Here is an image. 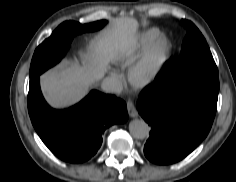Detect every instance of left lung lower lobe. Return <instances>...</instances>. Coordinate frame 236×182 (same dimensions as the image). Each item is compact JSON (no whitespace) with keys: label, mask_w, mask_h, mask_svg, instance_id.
I'll use <instances>...</instances> for the list:
<instances>
[{"label":"left lung lower lobe","mask_w":236,"mask_h":182,"mask_svg":"<svg viewBox=\"0 0 236 182\" xmlns=\"http://www.w3.org/2000/svg\"><path fill=\"white\" fill-rule=\"evenodd\" d=\"M161 83L141 92L137 109L151 126L145 156L153 163L167 165L185 158L208 135L218 92L196 87L164 89Z\"/></svg>","instance_id":"obj_1"}]
</instances>
